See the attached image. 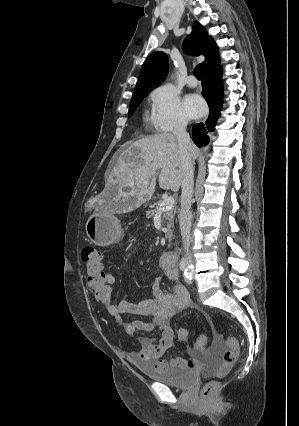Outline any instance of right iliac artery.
<instances>
[{"mask_svg": "<svg viewBox=\"0 0 299 426\" xmlns=\"http://www.w3.org/2000/svg\"><path fill=\"white\" fill-rule=\"evenodd\" d=\"M186 267V262L185 261H181L180 262V269L183 271Z\"/></svg>", "mask_w": 299, "mask_h": 426, "instance_id": "obj_1", "label": "right iliac artery"}]
</instances>
